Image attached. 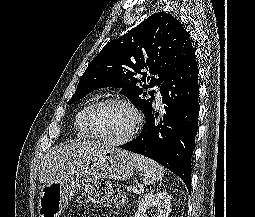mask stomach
Here are the masks:
<instances>
[{"label": "stomach", "mask_w": 255, "mask_h": 217, "mask_svg": "<svg viewBox=\"0 0 255 217\" xmlns=\"http://www.w3.org/2000/svg\"><path fill=\"white\" fill-rule=\"evenodd\" d=\"M136 167L128 152L104 148L99 155L47 182L39 196V217H60L70 198L99 179L126 180Z\"/></svg>", "instance_id": "1"}]
</instances>
